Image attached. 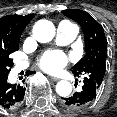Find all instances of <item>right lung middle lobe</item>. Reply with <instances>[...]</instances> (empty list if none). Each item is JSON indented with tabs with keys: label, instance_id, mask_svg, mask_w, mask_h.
<instances>
[{
	"label": "right lung middle lobe",
	"instance_id": "obj_1",
	"mask_svg": "<svg viewBox=\"0 0 117 117\" xmlns=\"http://www.w3.org/2000/svg\"><path fill=\"white\" fill-rule=\"evenodd\" d=\"M11 53L5 52L0 54V77L8 75L10 67L13 66L12 60L9 58Z\"/></svg>",
	"mask_w": 117,
	"mask_h": 117
}]
</instances>
